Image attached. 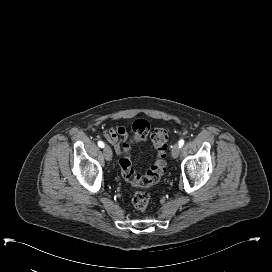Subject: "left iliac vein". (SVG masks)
<instances>
[{"instance_id":"4c4485c4","label":"left iliac vein","mask_w":272,"mask_h":272,"mask_svg":"<svg viewBox=\"0 0 272 272\" xmlns=\"http://www.w3.org/2000/svg\"><path fill=\"white\" fill-rule=\"evenodd\" d=\"M180 154V146L178 144H174L172 147V157L177 158Z\"/></svg>"}]
</instances>
